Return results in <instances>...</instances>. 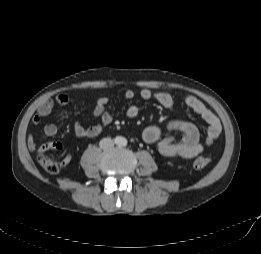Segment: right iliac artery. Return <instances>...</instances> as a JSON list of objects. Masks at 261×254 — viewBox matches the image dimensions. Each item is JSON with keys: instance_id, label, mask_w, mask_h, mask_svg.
<instances>
[{"instance_id": "obj_1", "label": "right iliac artery", "mask_w": 261, "mask_h": 254, "mask_svg": "<svg viewBox=\"0 0 261 254\" xmlns=\"http://www.w3.org/2000/svg\"><path fill=\"white\" fill-rule=\"evenodd\" d=\"M118 141V139H115V142H117Z\"/></svg>"}]
</instances>
